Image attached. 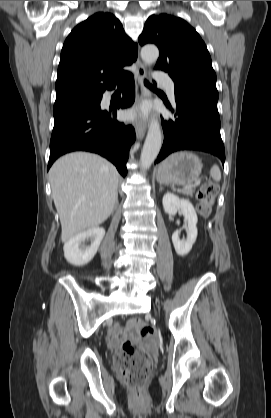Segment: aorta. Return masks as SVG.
Segmentation results:
<instances>
[{
	"instance_id": "aorta-1",
	"label": "aorta",
	"mask_w": 271,
	"mask_h": 418,
	"mask_svg": "<svg viewBox=\"0 0 271 418\" xmlns=\"http://www.w3.org/2000/svg\"><path fill=\"white\" fill-rule=\"evenodd\" d=\"M159 57V50L155 45H146L141 49V58L145 65H152ZM162 146L160 124L154 117L150 121L148 133L141 152L140 164L142 170H147L157 158Z\"/></svg>"
}]
</instances>
